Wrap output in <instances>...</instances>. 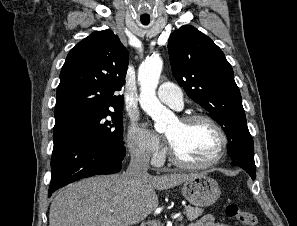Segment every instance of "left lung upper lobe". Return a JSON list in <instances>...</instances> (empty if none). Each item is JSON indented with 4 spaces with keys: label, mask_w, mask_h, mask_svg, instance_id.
<instances>
[{
    "label": "left lung upper lobe",
    "mask_w": 297,
    "mask_h": 226,
    "mask_svg": "<svg viewBox=\"0 0 297 226\" xmlns=\"http://www.w3.org/2000/svg\"><path fill=\"white\" fill-rule=\"evenodd\" d=\"M168 49L173 76L187 95L221 125L232 161H254V143L241 94L222 50L191 25L171 34Z\"/></svg>",
    "instance_id": "5c2ea615"
}]
</instances>
